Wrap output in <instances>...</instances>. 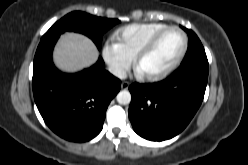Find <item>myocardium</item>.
Here are the masks:
<instances>
[{
    "label": "myocardium",
    "instance_id": "myocardium-1",
    "mask_svg": "<svg viewBox=\"0 0 248 165\" xmlns=\"http://www.w3.org/2000/svg\"><path fill=\"white\" fill-rule=\"evenodd\" d=\"M173 30L180 32L182 37H183V45H182L180 52L166 67H164L160 71H157L155 73H150V74H142L144 78H146L148 80L161 79V78L165 77L166 75H168L170 72H172L179 65V63L182 61V59L184 58V56L187 52V49H188V36H187L186 32L178 26H167V27L163 28L162 30L153 34L145 42V44L138 50V52L134 56V66L136 69H138V65H139L140 60L153 49V47L156 45L158 40L165 33L169 32V31H173Z\"/></svg>",
    "mask_w": 248,
    "mask_h": 165
}]
</instances>
